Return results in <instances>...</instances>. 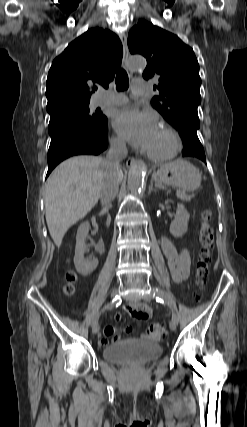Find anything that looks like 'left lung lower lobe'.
<instances>
[{
  "instance_id": "0a47b994",
  "label": "left lung lower lobe",
  "mask_w": 247,
  "mask_h": 427,
  "mask_svg": "<svg viewBox=\"0 0 247 427\" xmlns=\"http://www.w3.org/2000/svg\"><path fill=\"white\" fill-rule=\"evenodd\" d=\"M179 135L183 140V156L198 158L206 163V157L202 144L200 143L197 130L189 127H182L178 129Z\"/></svg>"
}]
</instances>
